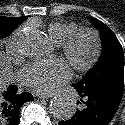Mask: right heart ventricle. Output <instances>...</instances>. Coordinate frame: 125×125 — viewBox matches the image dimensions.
<instances>
[{
    "label": "right heart ventricle",
    "instance_id": "1",
    "mask_svg": "<svg viewBox=\"0 0 125 125\" xmlns=\"http://www.w3.org/2000/svg\"><path fill=\"white\" fill-rule=\"evenodd\" d=\"M77 25L71 22L55 21L48 25V35L55 43H63L75 30Z\"/></svg>",
    "mask_w": 125,
    "mask_h": 125
}]
</instances>
